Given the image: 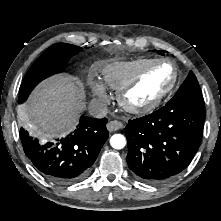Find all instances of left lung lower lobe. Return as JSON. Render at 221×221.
<instances>
[{"mask_svg":"<svg viewBox=\"0 0 221 221\" xmlns=\"http://www.w3.org/2000/svg\"><path fill=\"white\" fill-rule=\"evenodd\" d=\"M206 113L170 103L125 127L127 164L139 179L162 183L182 172L202 140Z\"/></svg>","mask_w":221,"mask_h":221,"instance_id":"0a47b994","label":"left lung lower lobe"}]
</instances>
